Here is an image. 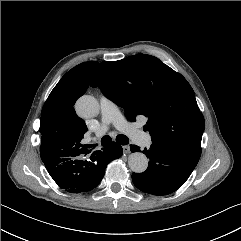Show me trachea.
<instances>
[{"label":"trachea","instance_id":"obj_1","mask_svg":"<svg viewBox=\"0 0 241 241\" xmlns=\"http://www.w3.org/2000/svg\"><path fill=\"white\" fill-rule=\"evenodd\" d=\"M116 142L121 144V145H126V144H128V138L125 135H118L116 137ZM110 143H111V137L110 136L106 135V136L102 137V139H101V145L102 146H107ZM94 146H96V145H94Z\"/></svg>","mask_w":241,"mask_h":241}]
</instances>
